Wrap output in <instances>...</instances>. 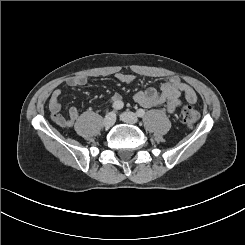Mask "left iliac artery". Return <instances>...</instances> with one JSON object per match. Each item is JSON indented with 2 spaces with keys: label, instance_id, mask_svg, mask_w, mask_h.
Wrapping results in <instances>:
<instances>
[{
  "label": "left iliac artery",
  "instance_id": "1",
  "mask_svg": "<svg viewBox=\"0 0 245 245\" xmlns=\"http://www.w3.org/2000/svg\"><path fill=\"white\" fill-rule=\"evenodd\" d=\"M136 113H137V115H138L139 117H144V115H145V110H143V109L140 108V109L137 110Z\"/></svg>",
  "mask_w": 245,
  "mask_h": 245
}]
</instances>
